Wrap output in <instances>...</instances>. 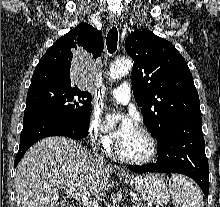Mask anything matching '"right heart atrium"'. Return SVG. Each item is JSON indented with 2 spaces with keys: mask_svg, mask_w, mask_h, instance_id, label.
Listing matches in <instances>:
<instances>
[{
  "mask_svg": "<svg viewBox=\"0 0 220 207\" xmlns=\"http://www.w3.org/2000/svg\"><path fill=\"white\" fill-rule=\"evenodd\" d=\"M88 134L90 141L94 147L102 151L108 152L113 146L112 139L104 130L98 115L93 114L88 125Z\"/></svg>",
  "mask_w": 220,
  "mask_h": 207,
  "instance_id": "right-heart-atrium-1",
  "label": "right heart atrium"
}]
</instances>
